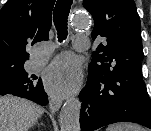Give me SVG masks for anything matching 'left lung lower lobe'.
Here are the masks:
<instances>
[{
    "label": "left lung lower lobe",
    "instance_id": "0a47b994",
    "mask_svg": "<svg viewBox=\"0 0 151 131\" xmlns=\"http://www.w3.org/2000/svg\"><path fill=\"white\" fill-rule=\"evenodd\" d=\"M136 67L111 78L88 75L80 93L81 131H94L116 122H133L151 129V101Z\"/></svg>",
    "mask_w": 151,
    "mask_h": 131
}]
</instances>
